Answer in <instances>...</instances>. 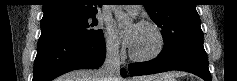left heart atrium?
Listing matches in <instances>:
<instances>
[{"instance_id": "39dd6f15", "label": "left heart atrium", "mask_w": 237, "mask_h": 81, "mask_svg": "<svg viewBox=\"0 0 237 81\" xmlns=\"http://www.w3.org/2000/svg\"><path fill=\"white\" fill-rule=\"evenodd\" d=\"M138 25H132L127 31L123 33V39L127 46H133L137 34Z\"/></svg>"}]
</instances>
